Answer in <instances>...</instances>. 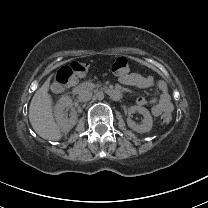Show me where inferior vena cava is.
Wrapping results in <instances>:
<instances>
[{"instance_id":"1","label":"inferior vena cava","mask_w":208,"mask_h":208,"mask_svg":"<svg viewBox=\"0 0 208 208\" xmlns=\"http://www.w3.org/2000/svg\"><path fill=\"white\" fill-rule=\"evenodd\" d=\"M91 98H92V92L88 90H82L78 96V99L82 102L89 101Z\"/></svg>"}]
</instances>
